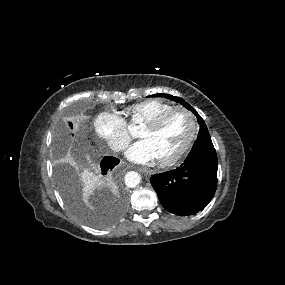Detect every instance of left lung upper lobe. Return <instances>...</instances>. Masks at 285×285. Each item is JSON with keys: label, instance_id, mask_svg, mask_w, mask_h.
Here are the masks:
<instances>
[{"label": "left lung upper lobe", "instance_id": "obj_1", "mask_svg": "<svg viewBox=\"0 0 285 285\" xmlns=\"http://www.w3.org/2000/svg\"><path fill=\"white\" fill-rule=\"evenodd\" d=\"M152 97H165L168 98L170 100L176 101V102H180V104H182L184 107H186L188 110H191L196 116H197V120L198 123L200 124V131L198 133V139H201L205 136H210L209 135V131L207 129L206 124L204 123V120L201 118V116L196 112L195 109H193L186 101H184L182 98L180 97H175L169 94H154L151 95Z\"/></svg>", "mask_w": 285, "mask_h": 285}]
</instances>
